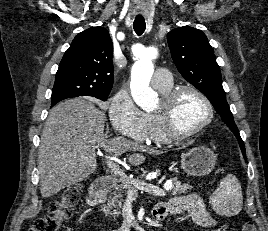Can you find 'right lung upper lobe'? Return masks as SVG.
<instances>
[{
    "instance_id": "obj_1",
    "label": "right lung upper lobe",
    "mask_w": 268,
    "mask_h": 231,
    "mask_svg": "<svg viewBox=\"0 0 268 231\" xmlns=\"http://www.w3.org/2000/svg\"><path fill=\"white\" fill-rule=\"evenodd\" d=\"M112 55L107 29L91 27L79 33L60 62L53 87L66 94L52 100L51 106L71 97L109 95L114 81Z\"/></svg>"
}]
</instances>
